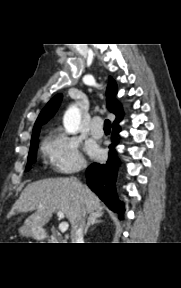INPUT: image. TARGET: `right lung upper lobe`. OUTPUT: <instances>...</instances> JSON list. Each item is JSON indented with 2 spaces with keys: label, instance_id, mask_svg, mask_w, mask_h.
Returning a JSON list of instances; mask_svg holds the SVG:
<instances>
[{
  "label": "right lung upper lobe",
  "instance_id": "obj_1",
  "mask_svg": "<svg viewBox=\"0 0 181 288\" xmlns=\"http://www.w3.org/2000/svg\"><path fill=\"white\" fill-rule=\"evenodd\" d=\"M117 93V84L112 77L109 78V83L106 91V103L110 112L116 115V119L113 125H119V122L123 118V111L121 105L116 101L115 94ZM62 95L58 94L54 96L47 105L43 108L39 114L33 129V135L31 142L38 139L41 126L45 124L57 111Z\"/></svg>",
  "mask_w": 181,
  "mask_h": 288
}]
</instances>
